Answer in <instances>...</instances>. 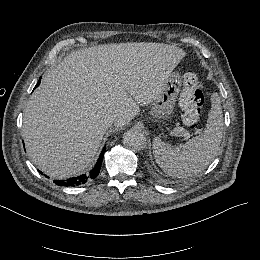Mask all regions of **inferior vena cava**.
Here are the masks:
<instances>
[{
  "mask_svg": "<svg viewBox=\"0 0 260 260\" xmlns=\"http://www.w3.org/2000/svg\"><path fill=\"white\" fill-rule=\"evenodd\" d=\"M116 121V118L115 117H112L110 119L107 120V123H108V127H110L111 125H113Z\"/></svg>",
  "mask_w": 260,
  "mask_h": 260,
  "instance_id": "1",
  "label": "inferior vena cava"
}]
</instances>
